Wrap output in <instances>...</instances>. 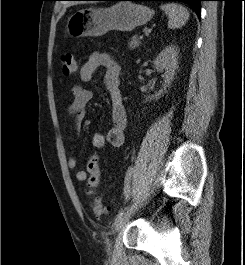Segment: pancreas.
<instances>
[{
  "mask_svg": "<svg viewBox=\"0 0 245 265\" xmlns=\"http://www.w3.org/2000/svg\"><path fill=\"white\" fill-rule=\"evenodd\" d=\"M140 44H141V42H140L138 36H137V35H134V36L130 39V41H129V43H128V47H129L130 50H133V49L138 48Z\"/></svg>",
  "mask_w": 245,
  "mask_h": 265,
  "instance_id": "pancreas-1",
  "label": "pancreas"
}]
</instances>
